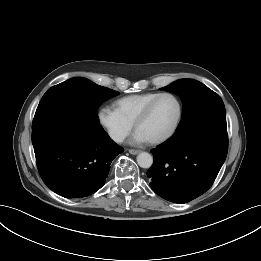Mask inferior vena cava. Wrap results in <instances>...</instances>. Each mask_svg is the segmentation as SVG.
<instances>
[{
	"mask_svg": "<svg viewBox=\"0 0 261 261\" xmlns=\"http://www.w3.org/2000/svg\"><path fill=\"white\" fill-rule=\"evenodd\" d=\"M111 138L115 141V142H123L125 137L124 135L121 134H111Z\"/></svg>",
	"mask_w": 261,
	"mask_h": 261,
	"instance_id": "obj_1",
	"label": "inferior vena cava"
}]
</instances>
